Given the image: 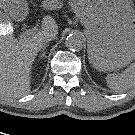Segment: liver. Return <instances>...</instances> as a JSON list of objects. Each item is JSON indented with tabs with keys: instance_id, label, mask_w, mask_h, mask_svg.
<instances>
[{
	"instance_id": "6515ba94",
	"label": "liver",
	"mask_w": 135,
	"mask_h": 135,
	"mask_svg": "<svg viewBox=\"0 0 135 135\" xmlns=\"http://www.w3.org/2000/svg\"><path fill=\"white\" fill-rule=\"evenodd\" d=\"M58 33V26L50 16L44 17L42 29L29 36L0 35V96L22 97L31 84V68L43 47L45 33Z\"/></svg>"
}]
</instances>
